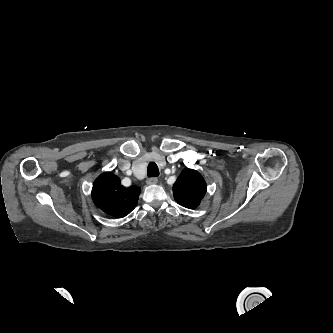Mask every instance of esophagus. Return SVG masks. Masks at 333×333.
<instances>
[{
  "instance_id": "1",
  "label": "esophagus",
  "mask_w": 333,
  "mask_h": 333,
  "mask_svg": "<svg viewBox=\"0 0 333 333\" xmlns=\"http://www.w3.org/2000/svg\"><path fill=\"white\" fill-rule=\"evenodd\" d=\"M158 182V178L156 177H150L147 179V184L152 185V184H156Z\"/></svg>"
}]
</instances>
